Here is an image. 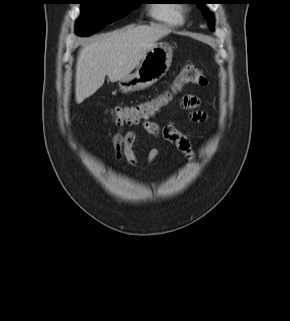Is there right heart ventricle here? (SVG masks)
Returning <instances> with one entry per match:
<instances>
[{"instance_id":"e07e8e85","label":"right heart ventricle","mask_w":290,"mask_h":321,"mask_svg":"<svg viewBox=\"0 0 290 321\" xmlns=\"http://www.w3.org/2000/svg\"><path fill=\"white\" fill-rule=\"evenodd\" d=\"M150 15L156 21L169 26H180L184 23L183 10L175 4L154 5L150 10Z\"/></svg>"}]
</instances>
